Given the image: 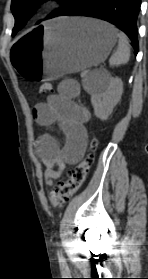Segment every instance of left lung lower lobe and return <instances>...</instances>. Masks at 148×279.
Returning <instances> with one entry per match:
<instances>
[{
  "label": "left lung lower lobe",
  "mask_w": 148,
  "mask_h": 279,
  "mask_svg": "<svg viewBox=\"0 0 148 279\" xmlns=\"http://www.w3.org/2000/svg\"><path fill=\"white\" fill-rule=\"evenodd\" d=\"M140 5L141 0H76L59 15L88 16L108 21L128 35L137 54Z\"/></svg>",
  "instance_id": "obj_1"
}]
</instances>
